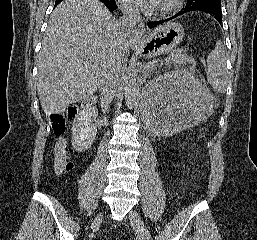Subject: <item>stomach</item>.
Wrapping results in <instances>:
<instances>
[{
  "label": "stomach",
  "mask_w": 257,
  "mask_h": 240,
  "mask_svg": "<svg viewBox=\"0 0 257 240\" xmlns=\"http://www.w3.org/2000/svg\"><path fill=\"white\" fill-rule=\"evenodd\" d=\"M184 29L181 24L169 22L154 29L152 33L134 48L144 57L166 53L174 49L183 39Z\"/></svg>",
  "instance_id": "stomach-1"
}]
</instances>
